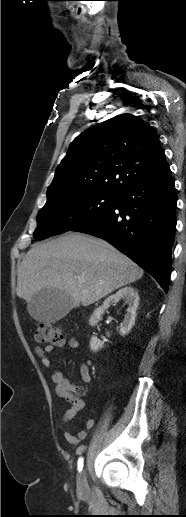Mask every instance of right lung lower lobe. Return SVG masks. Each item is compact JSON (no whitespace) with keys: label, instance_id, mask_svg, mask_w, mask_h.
Listing matches in <instances>:
<instances>
[{"label":"right lung lower lobe","instance_id":"obj_1","mask_svg":"<svg viewBox=\"0 0 186 517\" xmlns=\"http://www.w3.org/2000/svg\"><path fill=\"white\" fill-rule=\"evenodd\" d=\"M177 200L168 168L119 195L114 206L71 231L112 244L152 275L168 291L175 239Z\"/></svg>","mask_w":186,"mask_h":517}]
</instances>
